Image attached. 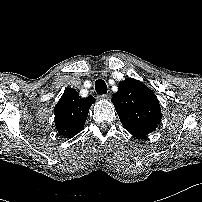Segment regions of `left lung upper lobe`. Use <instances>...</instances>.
Returning a JSON list of instances; mask_svg holds the SVG:
<instances>
[{"label":"left lung upper lobe","instance_id":"obj_1","mask_svg":"<svg viewBox=\"0 0 202 202\" xmlns=\"http://www.w3.org/2000/svg\"><path fill=\"white\" fill-rule=\"evenodd\" d=\"M111 101L122 125L134 137L147 136L162 119L157 97L139 80L129 78L121 81Z\"/></svg>","mask_w":202,"mask_h":202}]
</instances>
